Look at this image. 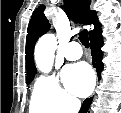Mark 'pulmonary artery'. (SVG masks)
I'll return each mask as SVG.
<instances>
[{"label":"pulmonary artery","mask_w":121,"mask_h":113,"mask_svg":"<svg viewBox=\"0 0 121 113\" xmlns=\"http://www.w3.org/2000/svg\"><path fill=\"white\" fill-rule=\"evenodd\" d=\"M82 54L81 46L75 41L70 42L63 51L64 57L69 61L78 60Z\"/></svg>","instance_id":"1"}]
</instances>
